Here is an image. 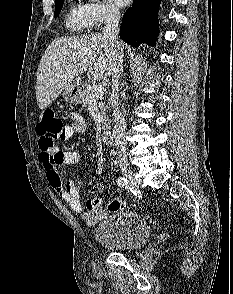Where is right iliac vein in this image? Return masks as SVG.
<instances>
[{
	"mask_svg": "<svg viewBox=\"0 0 233 294\" xmlns=\"http://www.w3.org/2000/svg\"><path fill=\"white\" fill-rule=\"evenodd\" d=\"M121 172H122L123 176L126 177V179H128V181L130 182V184L132 186H137V184L134 180L133 172L131 171V169L128 166L122 165Z\"/></svg>",
	"mask_w": 233,
	"mask_h": 294,
	"instance_id": "right-iliac-vein-1",
	"label": "right iliac vein"
}]
</instances>
